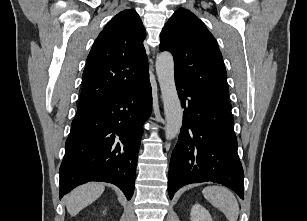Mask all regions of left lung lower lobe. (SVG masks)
Here are the masks:
<instances>
[{
  "instance_id": "1",
  "label": "left lung lower lobe",
  "mask_w": 307,
  "mask_h": 221,
  "mask_svg": "<svg viewBox=\"0 0 307 221\" xmlns=\"http://www.w3.org/2000/svg\"><path fill=\"white\" fill-rule=\"evenodd\" d=\"M175 82L185 110L169 166V197L184 185L212 181L244 199V173L231 111L197 94L180 78L175 77Z\"/></svg>"
}]
</instances>
